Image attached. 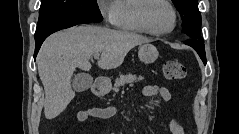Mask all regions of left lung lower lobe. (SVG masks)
Listing matches in <instances>:
<instances>
[{
    "instance_id": "0a47b994",
    "label": "left lung lower lobe",
    "mask_w": 239,
    "mask_h": 134,
    "mask_svg": "<svg viewBox=\"0 0 239 134\" xmlns=\"http://www.w3.org/2000/svg\"><path fill=\"white\" fill-rule=\"evenodd\" d=\"M187 45H190L192 48L196 50L199 54L200 58L202 59L203 63L206 64V55H205V48L202 40H195L190 39L185 42Z\"/></svg>"
}]
</instances>
